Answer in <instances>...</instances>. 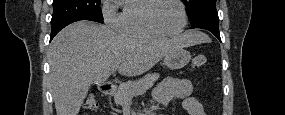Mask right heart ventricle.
Listing matches in <instances>:
<instances>
[{"mask_svg": "<svg viewBox=\"0 0 285 115\" xmlns=\"http://www.w3.org/2000/svg\"><path fill=\"white\" fill-rule=\"evenodd\" d=\"M151 0H131L123 6L116 26L125 34L140 38H156L145 22V10Z\"/></svg>", "mask_w": 285, "mask_h": 115, "instance_id": "1", "label": "right heart ventricle"}]
</instances>
